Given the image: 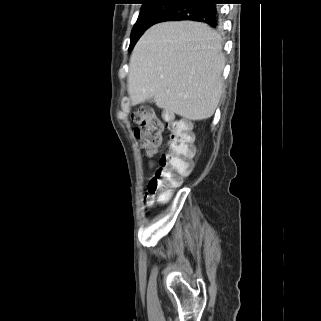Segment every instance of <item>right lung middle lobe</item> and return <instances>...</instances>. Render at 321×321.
<instances>
[{
	"label": "right lung middle lobe",
	"instance_id": "dd1d6c3e",
	"mask_svg": "<svg viewBox=\"0 0 321 321\" xmlns=\"http://www.w3.org/2000/svg\"><path fill=\"white\" fill-rule=\"evenodd\" d=\"M176 4L174 0H154L143 4L139 17L131 32V42L129 51H131L142 36V34L152 25L159 22L160 17Z\"/></svg>",
	"mask_w": 321,
	"mask_h": 321
}]
</instances>
